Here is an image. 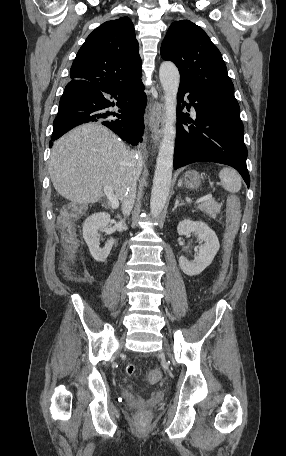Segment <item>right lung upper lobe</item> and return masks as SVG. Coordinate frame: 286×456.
I'll use <instances>...</instances> for the list:
<instances>
[{"mask_svg": "<svg viewBox=\"0 0 286 456\" xmlns=\"http://www.w3.org/2000/svg\"><path fill=\"white\" fill-rule=\"evenodd\" d=\"M141 58L132 21L103 23L85 40L73 61L70 78L112 89L141 78Z\"/></svg>", "mask_w": 286, "mask_h": 456, "instance_id": "1", "label": "right lung upper lobe"}]
</instances>
